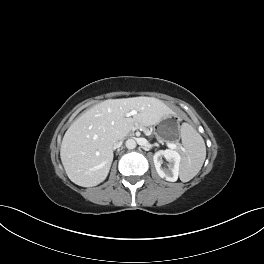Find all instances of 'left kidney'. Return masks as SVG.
Masks as SVG:
<instances>
[{
	"mask_svg": "<svg viewBox=\"0 0 264 264\" xmlns=\"http://www.w3.org/2000/svg\"><path fill=\"white\" fill-rule=\"evenodd\" d=\"M162 156H164V158L169 162L168 168L161 167ZM153 161L156 171L161 178H164L170 182L177 181L180 169L181 156L176 150H159L154 154Z\"/></svg>",
	"mask_w": 264,
	"mask_h": 264,
	"instance_id": "left-kidney-1",
	"label": "left kidney"
}]
</instances>
